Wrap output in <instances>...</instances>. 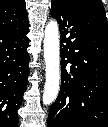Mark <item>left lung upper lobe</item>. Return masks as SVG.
Masks as SVG:
<instances>
[{
  "label": "left lung upper lobe",
  "instance_id": "obj_1",
  "mask_svg": "<svg viewBox=\"0 0 108 127\" xmlns=\"http://www.w3.org/2000/svg\"><path fill=\"white\" fill-rule=\"evenodd\" d=\"M75 2L86 7H94L105 16V10L100 0H74Z\"/></svg>",
  "mask_w": 108,
  "mask_h": 127
}]
</instances>
